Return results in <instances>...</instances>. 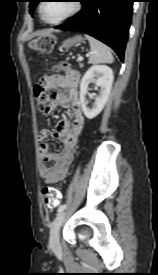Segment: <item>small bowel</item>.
<instances>
[{
	"label": "small bowel",
	"mask_w": 158,
	"mask_h": 275,
	"mask_svg": "<svg viewBox=\"0 0 158 275\" xmlns=\"http://www.w3.org/2000/svg\"><path fill=\"white\" fill-rule=\"evenodd\" d=\"M80 73L75 69H67L63 75H50L43 78L42 83L51 89H57L52 109L57 106L70 107L72 121L59 119L53 135L59 139L63 148L59 153L49 152L47 138L50 130L42 128L38 133L39 141V173L46 183H58L65 179L67 169L73 160L78 137L83 130L85 119L79 97ZM51 109V110H52Z\"/></svg>",
	"instance_id": "obj_1"
}]
</instances>
